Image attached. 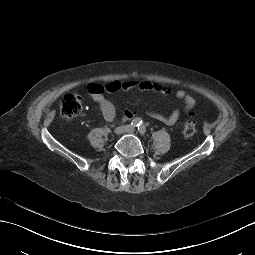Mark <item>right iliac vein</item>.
I'll use <instances>...</instances> for the list:
<instances>
[{
    "instance_id": "obj_1",
    "label": "right iliac vein",
    "mask_w": 255,
    "mask_h": 255,
    "mask_svg": "<svg viewBox=\"0 0 255 255\" xmlns=\"http://www.w3.org/2000/svg\"><path fill=\"white\" fill-rule=\"evenodd\" d=\"M127 128H128L127 126H119V127L115 128L114 134L119 136L122 133L126 132Z\"/></svg>"
}]
</instances>
